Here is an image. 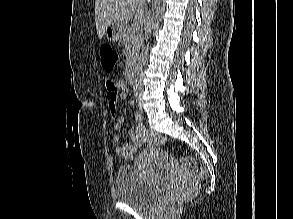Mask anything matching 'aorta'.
I'll use <instances>...</instances> for the list:
<instances>
[{
    "mask_svg": "<svg viewBox=\"0 0 293 219\" xmlns=\"http://www.w3.org/2000/svg\"><path fill=\"white\" fill-rule=\"evenodd\" d=\"M165 11V0H152V14L150 17V36L151 30H155L160 22ZM150 36L148 38H150ZM149 54V43L144 45L140 54V59L137 65V75L142 72L144 65L147 62Z\"/></svg>",
    "mask_w": 293,
    "mask_h": 219,
    "instance_id": "aorta-1",
    "label": "aorta"
}]
</instances>
